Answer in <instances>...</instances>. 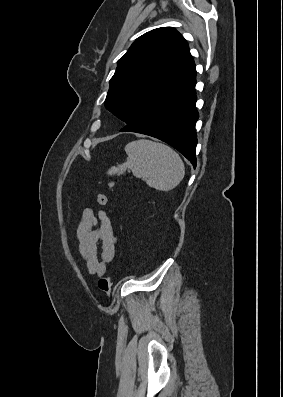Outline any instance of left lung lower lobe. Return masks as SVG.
Returning a JSON list of instances; mask_svg holds the SVG:
<instances>
[{
  "label": "left lung lower lobe",
  "mask_w": 283,
  "mask_h": 397,
  "mask_svg": "<svg viewBox=\"0 0 283 397\" xmlns=\"http://www.w3.org/2000/svg\"><path fill=\"white\" fill-rule=\"evenodd\" d=\"M196 76L159 99L120 131L136 132L158 138L182 153L196 167L195 130L199 114L195 107Z\"/></svg>",
  "instance_id": "left-lung-lower-lobe-1"
}]
</instances>
